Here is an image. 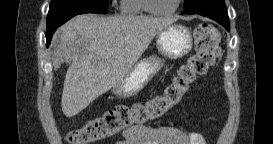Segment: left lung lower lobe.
I'll return each instance as SVG.
<instances>
[{"label":"left lung lower lobe","instance_id":"0a47b994","mask_svg":"<svg viewBox=\"0 0 273 144\" xmlns=\"http://www.w3.org/2000/svg\"><path fill=\"white\" fill-rule=\"evenodd\" d=\"M194 14L211 18L224 26L228 31L230 29L229 18L225 6L220 7L218 5H209L208 7L198 9Z\"/></svg>","mask_w":273,"mask_h":144}]
</instances>
